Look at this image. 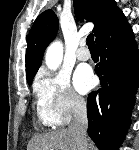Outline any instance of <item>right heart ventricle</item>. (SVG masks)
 <instances>
[{
    "label": "right heart ventricle",
    "mask_w": 139,
    "mask_h": 150,
    "mask_svg": "<svg viewBox=\"0 0 139 150\" xmlns=\"http://www.w3.org/2000/svg\"><path fill=\"white\" fill-rule=\"evenodd\" d=\"M37 117L40 123L44 125H50L47 116L39 105L37 107Z\"/></svg>",
    "instance_id": "1"
}]
</instances>
